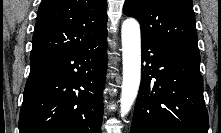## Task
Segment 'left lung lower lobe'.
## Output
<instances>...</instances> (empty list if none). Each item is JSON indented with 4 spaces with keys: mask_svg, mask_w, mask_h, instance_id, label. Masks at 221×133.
<instances>
[{
    "mask_svg": "<svg viewBox=\"0 0 221 133\" xmlns=\"http://www.w3.org/2000/svg\"><path fill=\"white\" fill-rule=\"evenodd\" d=\"M143 73L130 133H208L199 51L141 38Z\"/></svg>",
    "mask_w": 221,
    "mask_h": 133,
    "instance_id": "0a47b994",
    "label": "left lung lower lobe"
}]
</instances>
